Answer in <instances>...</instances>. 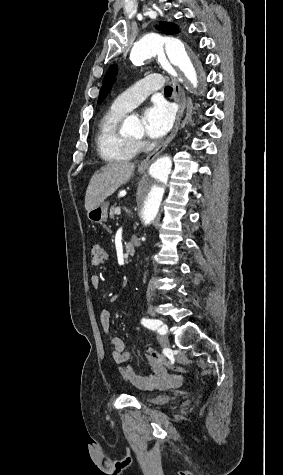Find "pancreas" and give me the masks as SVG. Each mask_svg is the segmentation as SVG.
I'll list each match as a JSON object with an SVG mask.
<instances>
[{
    "label": "pancreas",
    "instance_id": "1",
    "mask_svg": "<svg viewBox=\"0 0 283 475\" xmlns=\"http://www.w3.org/2000/svg\"><path fill=\"white\" fill-rule=\"evenodd\" d=\"M116 210H117L116 204H115V206H111V208H110V218H114V216L116 214Z\"/></svg>",
    "mask_w": 283,
    "mask_h": 475
}]
</instances>
